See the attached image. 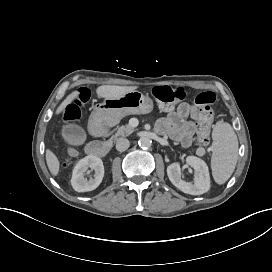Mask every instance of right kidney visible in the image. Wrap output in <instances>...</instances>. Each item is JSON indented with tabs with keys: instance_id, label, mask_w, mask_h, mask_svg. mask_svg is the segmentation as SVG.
Wrapping results in <instances>:
<instances>
[{
	"instance_id": "obj_1",
	"label": "right kidney",
	"mask_w": 272,
	"mask_h": 272,
	"mask_svg": "<svg viewBox=\"0 0 272 272\" xmlns=\"http://www.w3.org/2000/svg\"><path fill=\"white\" fill-rule=\"evenodd\" d=\"M93 173L87 179V171ZM104 166L102 161L95 156H87L73 169L72 186L78 192L94 190L102 181Z\"/></svg>"
}]
</instances>
